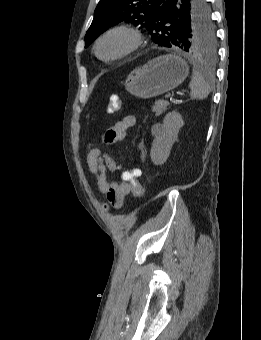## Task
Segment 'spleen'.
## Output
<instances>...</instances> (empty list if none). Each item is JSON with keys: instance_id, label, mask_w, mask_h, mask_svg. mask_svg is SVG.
Segmentation results:
<instances>
[{"instance_id": "1", "label": "spleen", "mask_w": 261, "mask_h": 340, "mask_svg": "<svg viewBox=\"0 0 261 340\" xmlns=\"http://www.w3.org/2000/svg\"><path fill=\"white\" fill-rule=\"evenodd\" d=\"M189 87L191 89L190 97L192 99L203 100L207 98L211 91L207 74L196 67L193 69V77Z\"/></svg>"}]
</instances>
